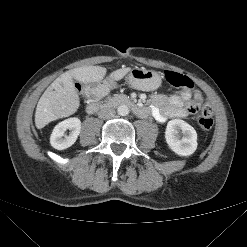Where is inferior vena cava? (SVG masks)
Masks as SVG:
<instances>
[{
	"instance_id": "obj_1",
	"label": "inferior vena cava",
	"mask_w": 247,
	"mask_h": 247,
	"mask_svg": "<svg viewBox=\"0 0 247 247\" xmlns=\"http://www.w3.org/2000/svg\"><path fill=\"white\" fill-rule=\"evenodd\" d=\"M115 110L110 107H104L98 112V116L101 119H112L115 116Z\"/></svg>"
}]
</instances>
